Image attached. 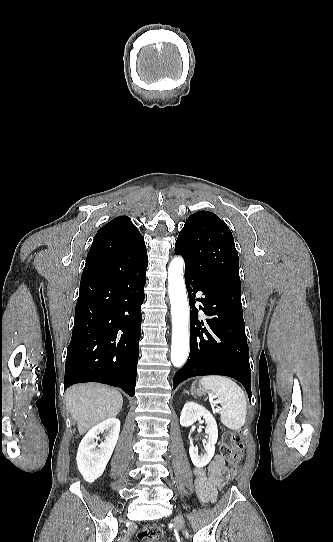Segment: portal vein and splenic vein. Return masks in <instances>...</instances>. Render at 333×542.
<instances>
[{
  "instance_id": "portal-vein-and-splenic-vein-1",
  "label": "portal vein and splenic vein",
  "mask_w": 333,
  "mask_h": 542,
  "mask_svg": "<svg viewBox=\"0 0 333 542\" xmlns=\"http://www.w3.org/2000/svg\"><path fill=\"white\" fill-rule=\"evenodd\" d=\"M215 412H219V410H215Z\"/></svg>"
}]
</instances>
